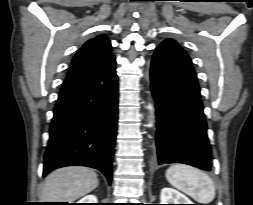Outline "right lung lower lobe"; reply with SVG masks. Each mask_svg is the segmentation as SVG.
Masks as SVG:
<instances>
[{
  "instance_id": "right-lung-lower-lobe-1",
  "label": "right lung lower lobe",
  "mask_w": 253,
  "mask_h": 205,
  "mask_svg": "<svg viewBox=\"0 0 253 205\" xmlns=\"http://www.w3.org/2000/svg\"><path fill=\"white\" fill-rule=\"evenodd\" d=\"M115 59L108 65L64 81L50 125L43 175L53 169L82 165L112 180L118 119Z\"/></svg>"
}]
</instances>
